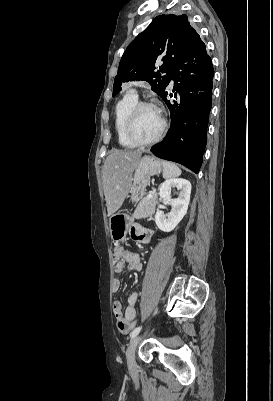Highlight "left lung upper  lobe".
Here are the masks:
<instances>
[{"label":"left lung upper lobe","instance_id":"obj_1","mask_svg":"<svg viewBox=\"0 0 273 401\" xmlns=\"http://www.w3.org/2000/svg\"><path fill=\"white\" fill-rule=\"evenodd\" d=\"M198 40L200 36L186 15L157 16L125 50L114 79L113 96L119 93L122 83L140 79L147 81L161 97L170 82L175 62ZM159 56H163V64L155 72Z\"/></svg>","mask_w":273,"mask_h":401}]
</instances>
